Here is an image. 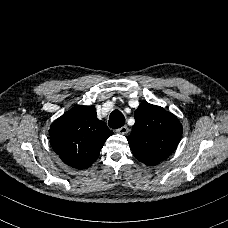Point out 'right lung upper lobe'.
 Instances as JSON below:
<instances>
[{
	"label": "right lung upper lobe",
	"instance_id": "obj_1",
	"mask_svg": "<svg viewBox=\"0 0 228 228\" xmlns=\"http://www.w3.org/2000/svg\"><path fill=\"white\" fill-rule=\"evenodd\" d=\"M113 134L98 120L94 106L77 105L56 119L49 130L50 144L61 160L77 169L90 167Z\"/></svg>",
	"mask_w": 228,
	"mask_h": 228
}]
</instances>
